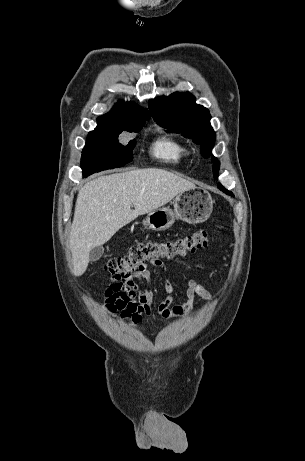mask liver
Listing matches in <instances>:
<instances>
[{
    "label": "liver",
    "instance_id": "obj_1",
    "mask_svg": "<svg viewBox=\"0 0 305 461\" xmlns=\"http://www.w3.org/2000/svg\"><path fill=\"white\" fill-rule=\"evenodd\" d=\"M192 188V182L158 168L102 176L85 184L77 196L70 232L73 275L81 276L90 251L108 242L120 228Z\"/></svg>",
    "mask_w": 305,
    "mask_h": 461
}]
</instances>
